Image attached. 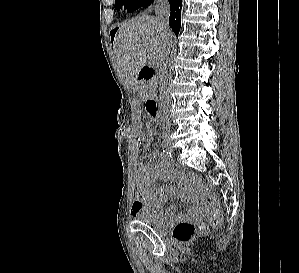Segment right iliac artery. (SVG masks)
<instances>
[{"label":"right iliac artery","mask_w":299,"mask_h":273,"mask_svg":"<svg viewBox=\"0 0 299 273\" xmlns=\"http://www.w3.org/2000/svg\"><path fill=\"white\" fill-rule=\"evenodd\" d=\"M161 155H162L165 159H169V158H171V153L168 152L167 150H164V149L161 151Z\"/></svg>","instance_id":"obj_1"}]
</instances>
